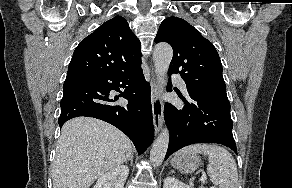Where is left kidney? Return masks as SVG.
<instances>
[{"label":"left kidney","instance_id":"5707ae66","mask_svg":"<svg viewBox=\"0 0 292 188\" xmlns=\"http://www.w3.org/2000/svg\"><path fill=\"white\" fill-rule=\"evenodd\" d=\"M163 188H191V187L179 181L175 177H167L166 179H164Z\"/></svg>","mask_w":292,"mask_h":188}]
</instances>
